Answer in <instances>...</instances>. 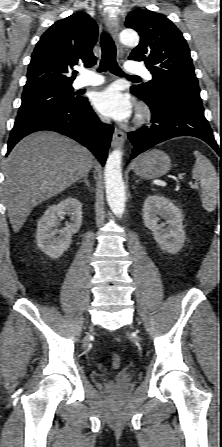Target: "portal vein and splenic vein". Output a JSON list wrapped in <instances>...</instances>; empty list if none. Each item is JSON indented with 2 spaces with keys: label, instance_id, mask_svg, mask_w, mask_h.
I'll list each match as a JSON object with an SVG mask.
<instances>
[{
  "label": "portal vein and splenic vein",
  "instance_id": "portal-vein-and-splenic-vein-1",
  "mask_svg": "<svg viewBox=\"0 0 222 447\" xmlns=\"http://www.w3.org/2000/svg\"><path fill=\"white\" fill-rule=\"evenodd\" d=\"M179 179L182 180V179H183V176H182V175H179ZM190 186H191V188H193V189H197V188H198V185H197L196 183H190Z\"/></svg>",
  "mask_w": 222,
  "mask_h": 447
}]
</instances>
